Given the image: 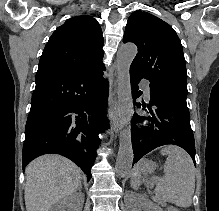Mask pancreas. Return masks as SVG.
<instances>
[{"instance_id":"obj_1","label":"pancreas","mask_w":219,"mask_h":211,"mask_svg":"<svg viewBox=\"0 0 219 211\" xmlns=\"http://www.w3.org/2000/svg\"><path fill=\"white\" fill-rule=\"evenodd\" d=\"M153 199H154V197H153ZM154 201H156V199H154ZM160 201H161V199H160Z\"/></svg>"}]
</instances>
